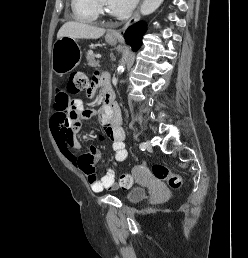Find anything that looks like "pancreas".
Wrapping results in <instances>:
<instances>
[{"instance_id": "obj_1", "label": "pancreas", "mask_w": 248, "mask_h": 258, "mask_svg": "<svg viewBox=\"0 0 248 258\" xmlns=\"http://www.w3.org/2000/svg\"><path fill=\"white\" fill-rule=\"evenodd\" d=\"M86 59L88 61V65L91 66V67H97L99 66V61H96L95 60V54L93 53L92 50H89L87 53H86Z\"/></svg>"}]
</instances>
